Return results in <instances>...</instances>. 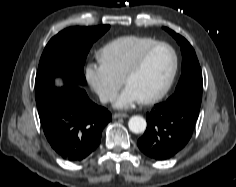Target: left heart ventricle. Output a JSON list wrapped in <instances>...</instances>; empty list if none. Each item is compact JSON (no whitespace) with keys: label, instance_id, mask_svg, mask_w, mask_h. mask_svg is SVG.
Returning <instances> with one entry per match:
<instances>
[{"label":"left heart ventricle","instance_id":"1","mask_svg":"<svg viewBox=\"0 0 236 187\" xmlns=\"http://www.w3.org/2000/svg\"><path fill=\"white\" fill-rule=\"evenodd\" d=\"M173 64L169 49L160 47L147 57L140 71L126 83L135 90L141 100L156 94L168 80Z\"/></svg>","mask_w":236,"mask_h":187}]
</instances>
